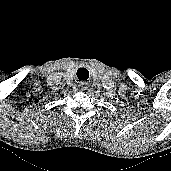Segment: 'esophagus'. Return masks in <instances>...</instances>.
I'll return each mask as SVG.
<instances>
[{
  "instance_id": "obj_1",
  "label": "esophagus",
  "mask_w": 171,
  "mask_h": 171,
  "mask_svg": "<svg viewBox=\"0 0 171 171\" xmlns=\"http://www.w3.org/2000/svg\"><path fill=\"white\" fill-rule=\"evenodd\" d=\"M88 83L87 82H80L79 87L81 90H85L87 88Z\"/></svg>"
}]
</instances>
